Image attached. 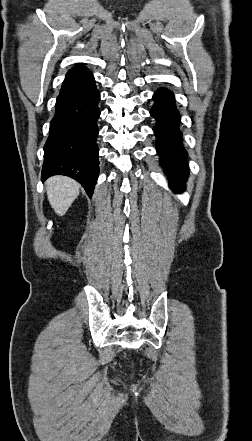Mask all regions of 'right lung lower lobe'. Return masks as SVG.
Here are the masks:
<instances>
[{"instance_id": "1", "label": "right lung lower lobe", "mask_w": 252, "mask_h": 441, "mask_svg": "<svg viewBox=\"0 0 252 441\" xmlns=\"http://www.w3.org/2000/svg\"><path fill=\"white\" fill-rule=\"evenodd\" d=\"M99 100L93 74L82 64L70 69L57 97L44 146L42 180L57 174L69 176L92 196L99 173Z\"/></svg>"}]
</instances>
